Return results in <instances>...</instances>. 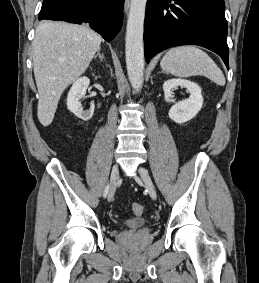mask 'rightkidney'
<instances>
[{"mask_svg": "<svg viewBox=\"0 0 259 283\" xmlns=\"http://www.w3.org/2000/svg\"><path fill=\"white\" fill-rule=\"evenodd\" d=\"M90 84V80L87 77H81L77 79L67 96V107L68 109L74 113V115L83 121H88L92 118L95 106L91 104L90 108L84 110L80 99L85 97L86 90Z\"/></svg>", "mask_w": 259, "mask_h": 283, "instance_id": "1", "label": "right kidney"}]
</instances>
